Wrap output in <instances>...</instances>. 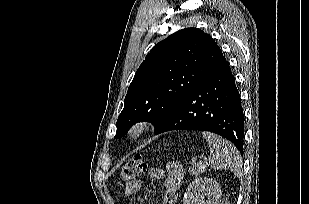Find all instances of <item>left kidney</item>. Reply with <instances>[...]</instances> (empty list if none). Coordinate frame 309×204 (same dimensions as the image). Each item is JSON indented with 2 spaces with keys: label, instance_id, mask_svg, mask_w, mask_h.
<instances>
[{
  "label": "left kidney",
  "instance_id": "left-kidney-1",
  "mask_svg": "<svg viewBox=\"0 0 309 204\" xmlns=\"http://www.w3.org/2000/svg\"><path fill=\"white\" fill-rule=\"evenodd\" d=\"M201 193V194H200ZM221 190L218 182L212 178H196L193 180L183 197V204H220ZM207 198L205 200L204 198Z\"/></svg>",
  "mask_w": 309,
  "mask_h": 204
}]
</instances>
